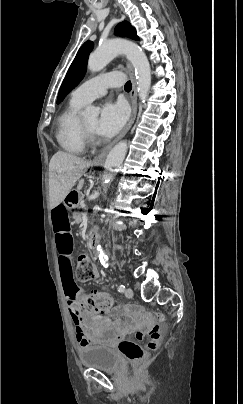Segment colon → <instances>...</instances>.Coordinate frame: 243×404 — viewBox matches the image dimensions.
<instances>
[{
	"mask_svg": "<svg viewBox=\"0 0 243 404\" xmlns=\"http://www.w3.org/2000/svg\"><path fill=\"white\" fill-rule=\"evenodd\" d=\"M77 276L81 281H89L95 278V267L87 255H81L78 258ZM79 303L90 313L108 317L113 314L126 313L131 315H140L142 309L138 306L124 305L117 303L114 298L106 292H94L82 295ZM160 320L163 319L161 314H158ZM137 339L139 341L146 339L144 345L135 341H123L119 345L120 351L131 361H140L145 353L149 350H155L161 341V330L158 325L149 328L144 333H139Z\"/></svg>",
	"mask_w": 243,
	"mask_h": 404,
	"instance_id": "colon-1",
	"label": "colon"
}]
</instances>
